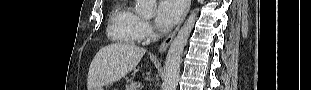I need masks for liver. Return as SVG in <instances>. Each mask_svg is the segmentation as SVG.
I'll return each mask as SVG.
<instances>
[{"instance_id": "6515ba94", "label": "liver", "mask_w": 311, "mask_h": 90, "mask_svg": "<svg viewBox=\"0 0 311 90\" xmlns=\"http://www.w3.org/2000/svg\"><path fill=\"white\" fill-rule=\"evenodd\" d=\"M146 50L133 44H109L95 55L88 72L87 89L99 90L134 70Z\"/></svg>"}]
</instances>
